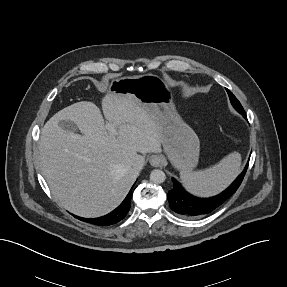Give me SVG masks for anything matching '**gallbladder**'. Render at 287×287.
I'll return each mask as SVG.
<instances>
[{
	"label": "gallbladder",
	"mask_w": 287,
	"mask_h": 287,
	"mask_svg": "<svg viewBox=\"0 0 287 287\" xmlns=\"http://www.w3.org/2000/svg\"><path fill=\"white\" fill-rule=\"evenodd\" d=\"M60 126L63 129H65L67 131L74 132V133L78 131L76 125L71 121H62V122H60Z\"/></svg>",
	"instance_id": "1"
}]
</instances>
